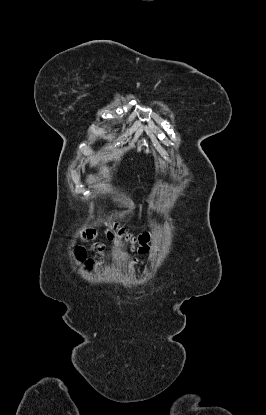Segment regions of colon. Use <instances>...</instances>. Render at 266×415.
I'll list each match as a JSON object with an SVG mask.
<instances>
[{
    "mask_svg": "<svg viewBox=\"0 0 266 415\" xmlns=\"http://www.w3.org/2000/svg\"><path fill=\"white\" fill-rule=\"evenodd\" d=\"M93 234V230H88L85 235L91 237ZM106 235L110 240L122 243L126 248L136 250L139 253H146L150 249L152 237L148 232L134 235L113 223L109 225ZM78 255L80 258H84V251L79 250Z\"/></svg>",
    "mask_w": 266,
    "mask_h": 415,
    "instance_id": "1",
    "label": "colon"
}]
</instances>
